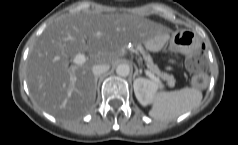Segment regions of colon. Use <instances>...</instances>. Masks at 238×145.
I'll return each instance as SVG.
<instances>
[{"instance_id":"obj_1","label":"colon","mask_w":238,"mask_h":145,"mask_svg":"<svg viewBox=\"0 0 238 145\" xmlns=\"http://www.w3.org/2000/svg\"><path fill=\"white\" fill-rule=\"evenodd\" d=\"M187 66L190 70L198 72L193 79L194 85L199 88L204 87L207 83V77L205 75L206 53L204 46H202L197 53L188 58Z\"/></svg>"}]
</instances>
